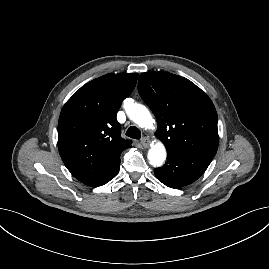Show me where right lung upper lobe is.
I'll list each match as a JSON object with an SVG mask.
<instances>
[{"mask_svg": "<svg viewBox=\"0 0 269 269\" xmlns=\"http://www.w3.org/2000/svg\"><path fill=\"white\" fill-rule=\"evenodd\" d=\"M138 74H106L82 86L63 106L58 149L71 174L82 183L102 185L131 147L116 119L122 101L133 91Z\"/></svg>", "mask_w": 269, "mask_h": 269, "instance_id": "1", "label": "right lung upper lobe"}]
</instances>
